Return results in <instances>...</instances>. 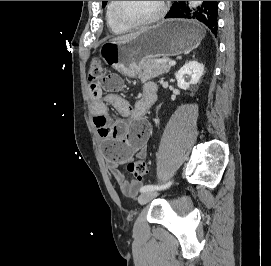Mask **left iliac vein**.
Masks as SVG:
<instances>
[{"label": "left iliac vein", "mask_w": 271, "mask_h": 266, "mask_svg": "<svg viewBox=\"0 0 271 266\" xmlns=\"http://www.w3.org/2000/svg\"><path fill=\"white\" fill-rule=\"evenodd\" d=\"M156 195L157 193L153 191L144 192L138 197V202L139 204L144 205L156 197Z\"/></svg>", "instance_id": "1"}]
</instances>
